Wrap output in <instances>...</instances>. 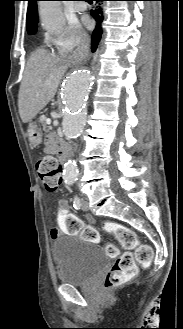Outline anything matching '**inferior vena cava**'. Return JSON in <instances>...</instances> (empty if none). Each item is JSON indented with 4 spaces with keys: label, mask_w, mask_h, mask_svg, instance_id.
<instances>
[{
    "label": "inferior vena cava",
    "mask_w": 183,
    "mask_h": 329,
    "mask_svg": "<svg viewBox=\"0 0 183 329\" xmlns=\"http://www.w3.org/2000/svg\"><path fill=\"white\" fill-rule=\"evenodd\" d=\"M87 54H88V47L85 44H82L76 49L73 58L75 60H81L84 57H86Z\"/></svg>",
    "instance_id": "1"
}]
</instances>
